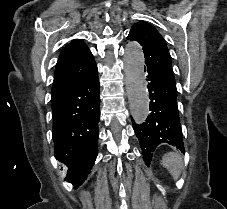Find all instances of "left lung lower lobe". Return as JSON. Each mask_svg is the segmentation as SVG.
I'll return each instance as SVG.
<instances>
[{"instance_id": "1", "label": "left lung lower lobe", "mask_w": 227, "mask_h": 209, "mask_svg": "<svg viewBox=\"0 0 227 209\" xmlns=\"http://www.w3.org/2000/svg\"><path fill=\"white\" fill-rule=\"evenodd\" d=\"M150 115L141 125L133 128L141 145L143 159L150 164L156 147L168 144L184 152L181 125L177 108V90L156 72H148Z\"/></svg>"}]
</instances>
